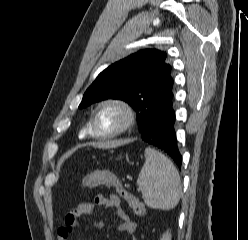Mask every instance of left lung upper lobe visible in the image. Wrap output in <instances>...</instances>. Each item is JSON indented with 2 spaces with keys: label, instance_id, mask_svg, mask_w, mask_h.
Here are the masks:
<instances>
[{
  "label": "left lung upper lobe",
  "instance_id": "left-lung-upper-lobe-1",
  "mask_svg": "<svg viewBox=\"0 0 248 240\" xmlns=\"http://www.w3.org/2000/svg\"><path fill=\"white\" fill-rule=\"evenodd\" d=\"M166 53L140 50L106 68L86 90L79 108L108 98L121 99L136 111L139 131L173 100L172 67Z\"/></svg>",
  "mask_w": 248,
  "mask_h": 240
}]
</instances>
